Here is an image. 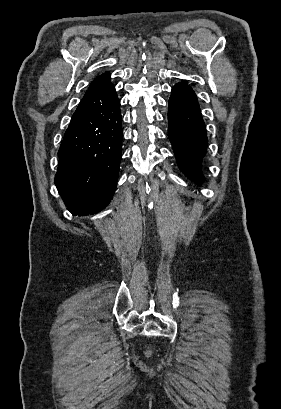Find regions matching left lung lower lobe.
<instances>
[{"label": "left lung lower lobe", "mask_w": 281, "mask_h": 409, "mask_svg": "<svg viewBox=\"0 0 281 409\" xmlns=\"http://www.w3.org/2000/svg\"><path fill=\"white\" fill-rule=\"evenodd\" d=\"M168 136L179 168L190 179L201 182L208 139L196 94L186 83H178L172 89Z\"/></svg>", "instance_id": "obj_1"}]
</instances>
